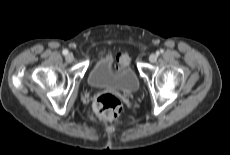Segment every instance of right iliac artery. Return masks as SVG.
Masks as SVG:
<instances>
[{
  "mask_svg": "<svg viewBox=\"0 0 230 155\" xmlns=\"http://www.w3.org/2000/svg\"><path fill=\"white\" fill-rule=\"evenodd\" d=\"M62 53H63V55H67V54H68V50H67V49H64V50L62 51Z\"/></svg>",
  "mask_w": 230,
  "mask_h": 155,
  "instance_id": "obj_1",
  "label": "right iliac artery"
}]
</instances>
